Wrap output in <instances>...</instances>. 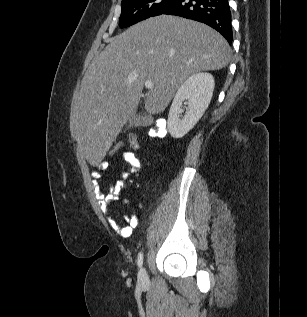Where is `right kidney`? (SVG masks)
<instances>
[{
    "label": "right kidney",
    "mask_w": 307,
    "mask_h": 317,
    "mask_svg": "<svg viewBox=\"0 0 307 317\" xmlns=\"http://www.w3.org/2000/svg\"><path fill=\"white\" fill-rule=\"evenodd\" d=\"M214 85L211 74L198 73L190 76L178 88L167 122L168 132L173 138H182L199 121L211 101ZM183 103L188 106L184 116L181 115Z\"/></svg>",
    "instance_id": "ca27d5eb"
}]
</instances>
